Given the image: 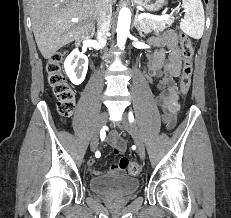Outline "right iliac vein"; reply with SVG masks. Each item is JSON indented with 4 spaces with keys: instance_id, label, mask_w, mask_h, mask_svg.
<instances>
[{
    "instance_id": "63e3f726",
    "label": "right iliac vein",
    "mask_w": 231,
    "mask_h": 218,
    "mask_svg": "<svg viewBox=\"0 0 231 218\" xmlns=\"http://www.w3.org/2000/svg\"><path fill=\"white\" fill-rule=\"evenodd\" d=\"M107 117H108L107 112H103L99 116V119H98V122H97V125H96V129H95V132L93 134L91 144H90L91 151H95L97 146H98L99 133L102 130V128L104 127V125L106 124Z\"/></svg>"
}]
</instances>
